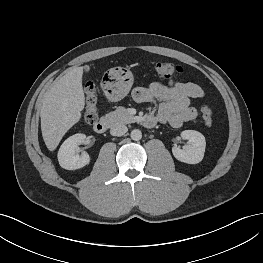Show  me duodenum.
I'll return each instance as SVG.
<instances>
[{
	"label": "duodenum",
	"mask_w": 263,
	"mask_h": 263,
	"mask_svg": "<svg viewBox=\"0 0 263 263\" xmlns=\"http://www.w3.org/2000/svg\"><path fill=\"white\" fill-rule=\"evenodd\" d=\"M109 124H110L109 119L107 118L101 119L94 124L93 127L94 131L98 134H103L107 131ZM143 124L146 127H153L155 125V120L151 116H148L144 119Z\"/></svg>",
	"instance_id": "410a0bca"
}]
</instances>
